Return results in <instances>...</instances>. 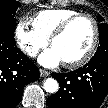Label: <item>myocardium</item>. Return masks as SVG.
<instances>
[{
    "label": "myocardium",
    "mask_w": 108,
    "mask_h": 108,
    "mask_svg": "<svg viewBox=\"0 0 108 108\" xmlns=\"http://www.w3.org/2000/svg\"><path fill=\"white\" fill-rule=\"evenodd\" d=\"M79 19H87L90 21L93 27V38L89 48L82 56L75 60L64 62V66L67 68H77L88 62L95 53V50L99 42V26L96 19L88 13H77L75 15L68 17L55 29V31L52 33L49 39L50 45L53 46L54 41L60 36H62L71 26L72 23Z\"/></svg>",
    "instance_id": "obj_1"
}]
</instances>
